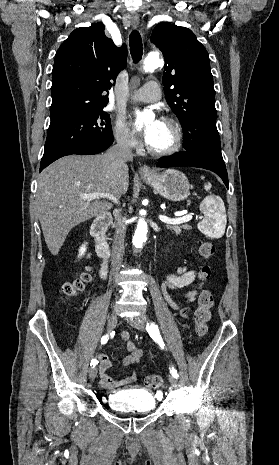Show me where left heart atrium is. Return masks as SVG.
<instances>
[{"label": "left heart atrium", "instance_id": "left-heart-atrium-1", "mask_svg": "<svg viewBox=\"0 0 279 465\" xmlns=\"http://www.w3.org/2000/svg\"><path fill=\"white\" fill-rule=\"evenodd\" d=\"M159 123H160L159 121H155L154 124H153V126L148 127V128L145 129V131H144V138H145L146 141H148V140L150 139V137H151V135H152V132H153L154 128H155Z\"/></svg>", "mask_w": 279, "mask_h": 465}]
</instances>
